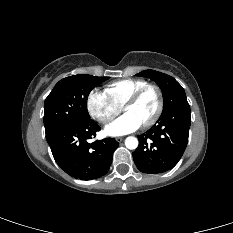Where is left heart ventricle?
<instances>
[{"label":"left heart ventricle","mask_w":233,"mask_h":233,"mask_svg":"<svg viewBox=\"0 0 233 233\" xmlns=\"http://www.w3.org/2000/svg\"><path fill=\"white\" fill-rule=\"evenodd\" d=\"M158 106L157 94L154 90L146 91L139 100L125 109V113L132 114L141 124L148 121Z\"/></svg>","instance_id":"left-heart-ventricle-1"}]
</instances>
